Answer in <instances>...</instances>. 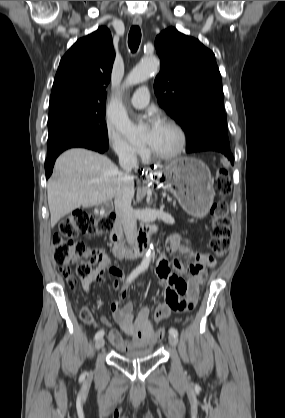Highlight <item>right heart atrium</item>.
Masks as SVG:
<instances>
[{"mask_svg": "<svg viewBox=\"0 0 285 418\" xmlns=\"http://www.w3.org/2000/svg\"><path fill=\"white\" fill-rule=\"evenodd\" d=\"M106 142L109 148L121 159H135L146 152L144 147L133 145L113 126H108L106 131Z\"/></svg>", "mask_w": 285, "mask_h": 418, "instance_id": "1", "label": "right heart atrium"}]
</instances>
